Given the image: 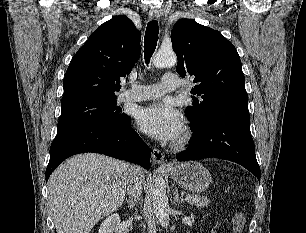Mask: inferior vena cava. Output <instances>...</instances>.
Returning a JSON list of instances; mask_svg holds the SVG:
<instances>
[{"instance_id": "602c4592", "label": "inferior vena cava", "mask_w": 306, "mask_h": 233, "mask_svg": "<svg viewBox=\"0 0 306 233\" xmlns=\"http://www.w3.org/2000/svg\"><path fill=\"white\" fill-rule=\"evenodd\" d=\"M144 183V174L140 167H131L130 178L127 185L129 199L134 203L138 202Z\"/></svg>"}]
</instances>
